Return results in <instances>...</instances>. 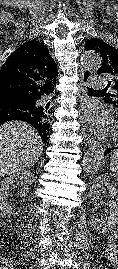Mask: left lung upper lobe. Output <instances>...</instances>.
<instances>
[{
  "instance_id": "obj_1",
  "label": "left lung upper lobe",
  "mask_w": 118,
  "mask_h": 269,
  "mask_svg": "<svg viewBox=\"0 0 118 269\" xmlns=\"http://www.w3.org/2000/svg\"><path fill=\"white\" fill-rule=\"evenodd\" d=\"M85 50H94L103 59L102 66L97 74H106L110 77L109 86H112L114 93L104 98L105 102L113 104L118 108V50L100 39H90L85 43Z\"/></svg>"
}]
</instances>
